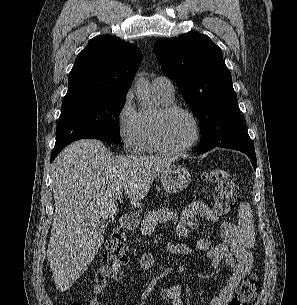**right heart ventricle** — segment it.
<instances>
[{"mask_svg":"<svg viewBox=\"0 0 297 305\" xmlns=\"http://www.w3.org/2000/svg\"><path fill=\"white\" fill-rule=\"evenodd\" d=\"M160 104L162 106L170 105L173 99H167L161 94L155 92ZM141 115V130L138 137L136 150L142 153H154L157 152V149L152 143L151 137V124H152V116L146 113H140Z\"/></svg>","mask_w":297,"mask_h":305,"instance_id":"1","label":"right heart ventricle"}]
</instances>
